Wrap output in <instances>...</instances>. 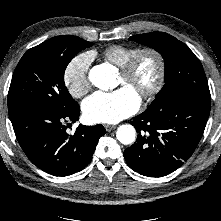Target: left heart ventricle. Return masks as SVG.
<instances>
[{
    "mask_svg": "<svg viewBox=\"0 0 221 221\" xmlns=\"http://www.w3.org/2000/svg\"><path fill=\"white\" fill-rule=\"evenodd\" d=\"M157 75V62L153 56H144L138 64L133 77L126 81L122 75L119 78L120 86H127L133 90L139 97L140 94L150 88Z\"/></svg>",
    "mask_w": 221,
    "mask_h": 221,
    "instance_id": "1",
    "label": "left heart ventricle"
}]
</instances>
